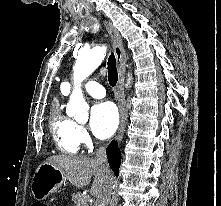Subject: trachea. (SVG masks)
I'll return each mask as SVG.
<instances>
[{"label":"trachea","mask_w":221,"mask_h":206,"mask_svg":"<svg viewBox=\"0 0 221 206\" xmlns=\"http://www.w3.org/2000/svg\"><path fill=\"white\" fill-rule=\"evenodd\" d=\"M107 70H108V81L109 84L114 87L118 81V73L116 68V59L113 53L108 58L107 62Z\"/></svg>","instance_id":"1"}]
</instances>
